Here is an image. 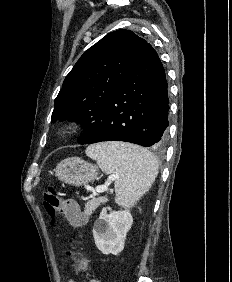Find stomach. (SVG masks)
<instances>
[{
    "instance_id": "stomach-1",
    "label": "stomach",
    "mask_w": 232,
    "mask_h": 282,
    "mask_svg": "<svg viewBox=\"0 0 232 282\" xmlns=\"http://www.w3.org/2000/svg\"><path fill=\"white\" fill-rule=\"evenodd\" d=\"M56 177L70 185L82 186L98 177V169L78 157L61 161L54 169Z\"/></svg>"
}]
</instances>
